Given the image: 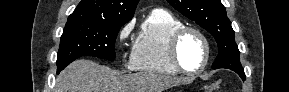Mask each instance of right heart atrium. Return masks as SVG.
Segmentation results:
<instances>
[{
  "mask_svg": "<svg viewBox=\"0 0 289 92\" xmlns=\"http://www.w3.org/2000/svg\"><path fill=\"white\" fill-rule=\"evenodd\" d=\"M133 29V22L127 23L119 32V41L124 42L128 39Z\"/></svg>",
  "mask_w": 289,
  "mask_h": 92,
  "instance_id": "obj_1",
  "label": "right heart atrium"
}]
</instances>
